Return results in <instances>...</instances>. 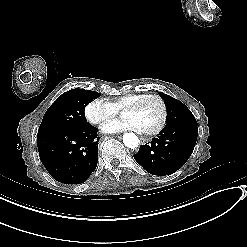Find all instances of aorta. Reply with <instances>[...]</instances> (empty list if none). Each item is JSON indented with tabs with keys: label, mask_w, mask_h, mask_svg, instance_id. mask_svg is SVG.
<instances>
[{
	"label": "aorta",
	"mask_w": 247,
	"mask_h": 247,
	"mask_svg": "<svg viewBox=\"0 0 247 247\" xmlns=\"http://www.w3.org/2000/svg\"><path fill=\"white\" fill-rule=\"evenodd\" d=\"M123 143L126 147L134 149L138 147L139 139L133 132L125 133L123 135Z\"/></svg>",
	"instance_id": "762f6f07"
}]
</instances>
